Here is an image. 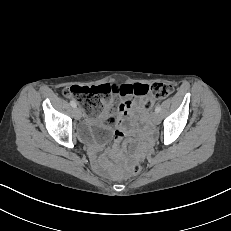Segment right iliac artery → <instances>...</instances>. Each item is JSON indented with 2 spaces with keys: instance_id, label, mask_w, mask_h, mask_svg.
I'll list each match as a JSON object with an SVG mask.
<instances>
[{
  "instance_id": "82829eb1",
  "label": "right iliac artery",
  "mask_w": 231,
  "mask_h": 231,
  "mask_svg": "<svg viewBox=\"0 0 231 231\" xmlns=\"http://www.w3.org/2000/svg\"><path fill=\"white\" fill-rule=\"evenodd\" d=\"M70 105H71L73 108H76V106H77V105H76V102H75V101H73V100H72V101H70Z\"/></svg>"
}]
</instances>
